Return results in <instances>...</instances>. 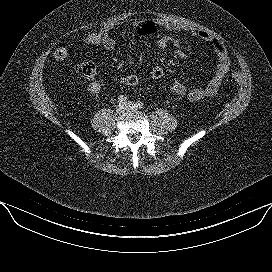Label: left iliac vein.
Wrapping results in <instances>:
<instances>
[{
	"mask_svg": "<svg viewBox=\"0 0 272 272\" xmlns=\"http://www.w3.org/2000/svg\"><path fill=\"white\" fill-rule=\"evenodd\" d=\"M125 106H126V110H128V111H137L138 110V106L134 102H128Z\"/></svg>",
	"mask_w": 272,
	"mask_h": 272,
	"instance_id": "left-iliac-vein-1",
	"label": "left iliac vein"
}]
</instances>
